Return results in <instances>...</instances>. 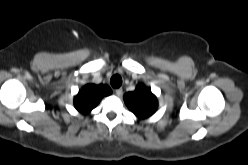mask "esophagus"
Wrapping results in <instances>:
<instances>
[{
  "mask_svg": "<svg viewBox=\"0 0 248 165\" xmlns=\"http://www.w3.org/2000/svg\"><path fill=\"white\" fill-rule=\"evenodd\" d=\"M122 93H123L122 88H118V89L115 90V94H116V96H118V97H120V96L122 95Z\"/></svg>",
  "mask_w": 248,
  "mask_h": 165,
  "instance_id": "obj_1",
  "label": "esophagus"
}]
</instances>
